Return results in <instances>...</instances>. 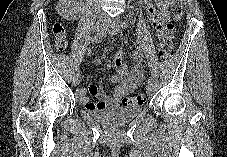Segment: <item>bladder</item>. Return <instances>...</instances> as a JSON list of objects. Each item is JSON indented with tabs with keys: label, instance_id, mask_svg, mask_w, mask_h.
I'll return each instance as SVG.
<instances>
[{
	"label": "bladder",
	"instance_id": "bladder-1",
	"mask_svg": "<svg viewBox=\"0 0 227 157\" xmlns=\"http://www.w3.org/2000/svg\"><path fill=\"white\" fill-rule=\"evenodd\" d=\"M142 109L137 106H112L90 110L91 116L106 126H119L137 118Z\"/></svg>",
	"mask_w": 227,
	"mask_h": 157
}]
</instances>
